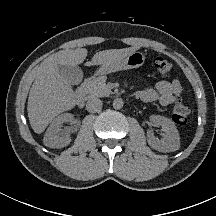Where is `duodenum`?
<instances>
[{
    "mask_svg": "<svg viewBox=\"0 0 216 216\" xmlns=\"http://www.w3.org/2000/svg\"><path fill=\"white\" fill-rule=\"evenodd\" d=\"M87 84L88 82L83 83L76 91L75 98L78 107L84 106L85 98L87 95Z\"/></svg>",
    "mask_w": 216,
    "mask_h": 216,
    "instance_id": "1",
    "label": "duodenum"
}]
</instances>
